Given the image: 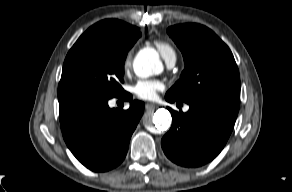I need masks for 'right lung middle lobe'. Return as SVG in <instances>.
<instances>
[{
	"mask_svg": "<svg viewBox=\"0 0 292 192\" xmlns=\"http://www.w3.org/2000/svg\"><path fill=\"white\" fill-rule=\"evenodd\" d=\"M140 36L124 40L111 35L105 25L91 26L68 52L58 92L77 89L108 98L120 96L125 58Z\"/></svg>",
	"mask_w": 292,
	"mask_h": 192,
	"instance_id": "obj_1",
	"label": "right lung middle lobe"
}]
</instances>
